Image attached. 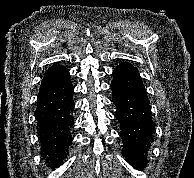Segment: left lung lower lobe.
<instances>
[{
	"mask_svg": "<svg viewBox=\"0 0 194 178\" xmlns=\"http://www.w3.org/2000/svg\"><path fill=\"white\" fill-rule=\"evenodd\" d=\"M111 90L121 126L123 156L135 169L142 170L153 142L155 123L138 69L129 62L119 64L113 70Z\"/></svg>",
	"mask_w": 194,
	"mask_h": 178,
	"instance_id": "1",
	"label": "left lung lower lobe"
}]
</instances>
